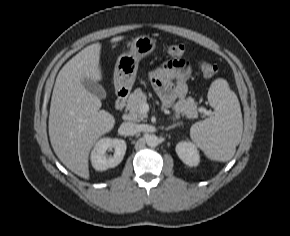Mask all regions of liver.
Segmentation results:
<instances>
[{
  "label": "liver",
  "instance_id": "liver-1",
  "mask_svg": "<svg viewBox=\"0 0 290 236\" xmlns=\"http://www.w3.org/2000/svg\"><path fill=\"white\" fill-rule=\"evenodd\" d=\"M122 39L114 37L111 43ZM100 53L101 43L91 44L62 67L50 105L48 128L52 148L69 170L84 179H89L91 148L115 124L113 115L100 110V99L82 84L85 79L102 80Z\"/></svg>",
  "mask_w": 290,
  "mask_h": 236
}]
</instances>
